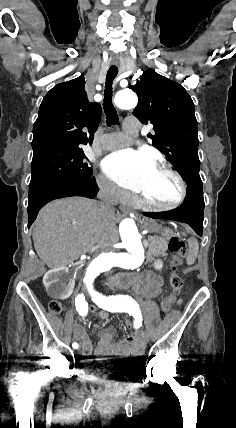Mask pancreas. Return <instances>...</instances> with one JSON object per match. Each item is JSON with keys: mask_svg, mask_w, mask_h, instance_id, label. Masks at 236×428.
<instances>
[{"mask_svg": "<svg viewBox=\"0 0 236 428\" xmlns=\"http://www.w3.org/2000/svg\"><path fill=\"white\" fill-rule=\"evenodd\" d=\"M167 242L163 238H152L149 240L148 250L146 252L147 258H152V256H167Z\"/></svg>", "mask_w": 236, "mask_h": 428, "instance_id": "obj_1", "label": "pancreas"}]
</instances>
